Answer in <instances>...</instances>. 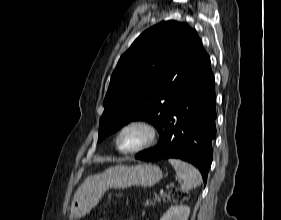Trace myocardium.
I'll list each match as a JSON object with an SVG mask.
<instances>
[{
  "instance_id": "myocardium-1",
  "label": "myocardium",
  "mask_w": 281,
  "mask_h": 220,
  "mask_svg": "<svg viewBox=\"0 0 281 220\" xmlns=\"http://www.w3.org/2000/svg\"><path fill=\"white\" fill-rule=\"evenodd\" d=\"M141 128L146 132V139L145 141L140 144L139 146L130 149V150H122L119 147V139L121 135L128 129L130 128ZM158 139V130L156 126L151 123L148 120L145 119H134L131 121L126 122L123 124L119 130L117 131L115 137H114V148L115 150L123 155H132V154H137L139 152H142L150 147H152Z\"/></svg>"
}]
</instances>
